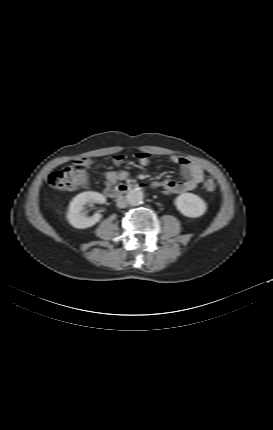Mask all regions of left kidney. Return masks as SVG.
I'll return each instance as SVG.
<instances>
[{"label":"left kidney","mask_w":273,"mask_h":430,"mask_svg":"<svg viewBox=\"0 0 273 430\" xmlns=\"http://www.w3.org/2000/svg\"><path fill=\"white\" fill-rule=\"evenodd\" d=\"M175 205L179 212L186 217L197 218L202 216L206 209V202L193 193H183L175 199Z\"/></svg>","instance_id":"obj_1"}]
</instances>
